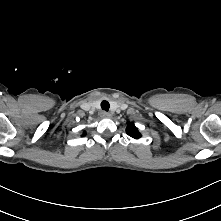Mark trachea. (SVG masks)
Wrapping results in <instances>:
<instances>
[{
  "label": "trachea",
  "instance_id": "trachea-1",
  "mask_svg": "<svg viewBox=\"0 0 221 221\" xmlns=\"http://www.w3.org/2000/svg\"><path fill=\"white\" fill-rule=\"evenodd\" d=\"M109 107H110V104H109L108 101L103 100V101L101 102V108H102L103 110L108 111V110H109Z\"/></svg>",
  "mask_w": 221,
  "mask_h": 221
}]
</instances>
